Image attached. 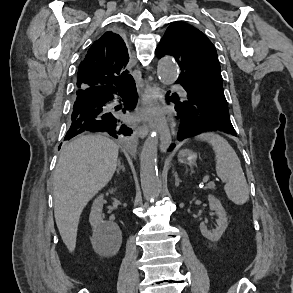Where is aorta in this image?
<instances>
[{
	"instance_id": "obj_1",
	"label": "aorta",
	"mask_w": 293,
	"mask_h": 293,
	"mask_svg": "<svg viewBox=\"0 0 293 293\" xmlns=\"http://www.w3.org/2000/svg\"><path fill=\"white\" fill-rule=\"evenodd\" d=\"M157 75L163 84H173L178 78L175 61L169 56L161 58L158 62ZM157 152L158 137L156 133H153L145 140L140 154L141 188L148 201L156 200L161 191V181L157 169Z\"/></svg>"
}]
</instances>
